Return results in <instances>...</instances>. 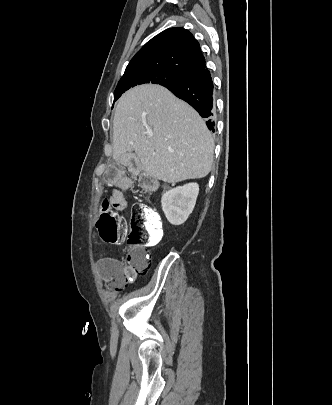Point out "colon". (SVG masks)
Instances as JSON below:
<instances>
[{
  "label": "colon",
  "mask_w": 332,
  "mask_h": 405,
  "mask_svg": "<svg viewBox=\"0 0 332 405\" xmlns=\"http://www.w3.org/2000/svg\"><path fill=\"white\" fill-rule=\"evenodd\" d=\"M141 186L148 191H155L157 184L147 173L139 177ZM109 199H104L97 222V229L101 239L106 243H116L124 237L129 238L124 268L127 273H144L149 267L148 243L159 242L163 228L159 214L143 203L132 205L130 217L127 221L114 211ZM116 287V286H113Z\"/></svg>",
  "instance_id": "obj_1"
}]
</instances>
